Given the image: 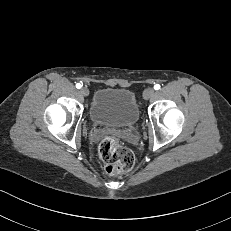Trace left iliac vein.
<instances>
[{
    "label": "left iliac vein",
    "mask_w": 231,
    "mask_h": 231,
    "mask_svg": "<svg viewBox=\"0 0 231 231\" xmlns=\"http://www.w3.org/2000/svg\"><path fill=\"white\" fill-rule=\"evenodd\" d=\"M154 95H155V91H154L153 88H150V87L145 89L144 92H143V97H144L145 100L150 99Z\"/></svg>",
    "instance_id": "left-iliac-vein-1"
}]
</instances>
